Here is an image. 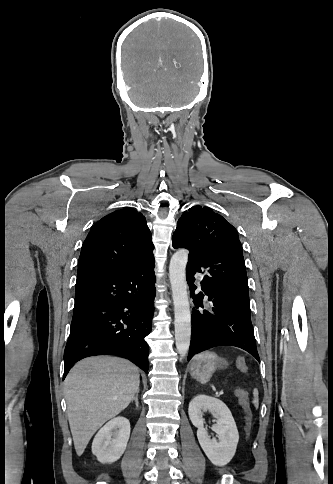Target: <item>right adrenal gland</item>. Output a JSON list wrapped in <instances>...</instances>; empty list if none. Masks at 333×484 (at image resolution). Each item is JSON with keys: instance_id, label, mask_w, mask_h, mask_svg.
I'll return each instance as SVG.
<instances>
[{"instance_id": "2a0ac1e0", "label": "right adrenal gland", "mask_w": 333, "mask_h": 484, "mask_svg": "<svg viewBox=\"0 0 333 484\" xmlns=\"http://www.w3.org/2000/svg\"><path fill=\"white\" fill-rule=\"evenodd\" d=\"M138 393H139V391L136 393L135 397H133V399H132V401H135V405H136L137 409L139 407V405H138L139 404V402H138Z\"/></svg>"}]
</instances>
